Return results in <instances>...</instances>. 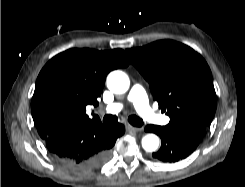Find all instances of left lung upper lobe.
<instances>
[{"label":"left lung upper lobe","instance_id":"left-lung-upper-lobe-1","mask_svg":"<svg viewBox=\"0 0 245 187\" xmlns=\"http://www.w3.org/2000/svg\"><path fill=\"white\" fill-rule=\"evenodd\" d=\"M125 52L148 81L154 100L170 117L169 124L210 125L216 111V93L210 68L200 54L172 40Z\"/></svg>","mask_w":245,"mask_h":187}]
</instances>
